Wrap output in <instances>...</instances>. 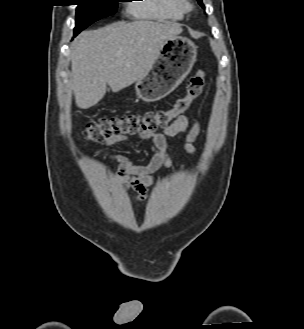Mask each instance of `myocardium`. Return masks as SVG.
<instances>
[{
  "label": "myocardium",
  "mask_w": 304,
  "mask_h": 329,
  "mask_svg": "<svg viewBox=\"0 0 304 329\" xmlns=\"http://www.w3.org/2000/svg\"><path fill=\"white\" fill-rule=\"evenodd\" d=\"M193 8V4L189 0H181V10L184 13L192 11Z\"/></svg>",
  "instance_id": "1"
}]
</instances>
